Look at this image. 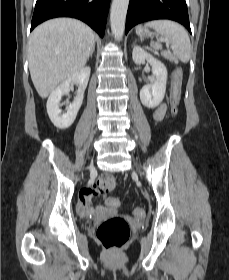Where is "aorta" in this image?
<instances>
[{
    "instance_id": "762f6f07",
    "label": "aorta",
    "mask_w": 229,
    "mask_h": 280,
    "mask_svg": "<svg viewBox=\"0 0 229 280\" xmlns=\"http://www.w3.org/2000/svg\"><path fill=\"white\" fill-rule=\"evenodd\" d=\"M129 0H113L110 13V24L112 34L116 40L120 41L124 34L125 20Z\"/></svg>"
}]
</instances>
